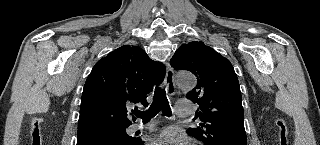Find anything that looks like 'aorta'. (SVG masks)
Listing matches in <instances>:
<instances>
[{
    "label": "aorta",
    "instance_id": "1",
    "mask_svg": "<svg viewBox=\"0 0 320 145\" xmlns=\"http://www.w3.org/2000/svg\"><path fill=\"white\" fill-rule=\"evenodd\" d=\"M176 79L182 89H192L196 85V79L191 73L179 72Z\"/></svg>",
    "mask_w": 320,
    "mask_h": 145
}]
</instances>
